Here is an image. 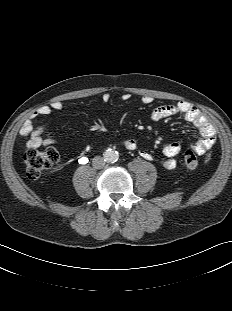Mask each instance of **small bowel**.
<instances>
[{"label": "small bowel", "instance_id": "c3829d8e", "mask_svg": "<svg viewBox=\"0 0 232 311\" xmlns=\"http://www.w3.org/2000/svg\"><path fill=\"white\" fill-rule=\"evenodd\" d=\"M130 95L125 93L122 95L124 101L129 100ZM110 99L108 93L102 95V100L107 102ZM153 101L151 96L142 97L144 104H149ZM64 104L61 100H52L49 104L41 106L36 112L32 113L27 118L20 129V134L26 138V146L28 148H39L41 146L50 147L56 145L58 142L53 138H44L43 132L44 127H35L34 120L39 116L48 117L53 112L61 111ZM182 115L184 119L196 127L200 134V139L192 145V149L199 155H205L209 157V151L215 144L217 134L214 126L211 122L194 106L188 105L187 103H177L161 105L156 107L151 112V119L158 121L170 116ZM123 145L129 150H136L138 143L134 139L123 140ZM181 147L178 143L167 144L163 148V158L161 159V165L167 170H173L176 167L175 156L179 154ZM140 156L145 160H152L153 156L144 150L140 151Z\"/></svg>", "mask_w": 232, "mask_h": 311}]
</instances>
